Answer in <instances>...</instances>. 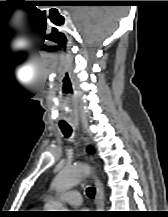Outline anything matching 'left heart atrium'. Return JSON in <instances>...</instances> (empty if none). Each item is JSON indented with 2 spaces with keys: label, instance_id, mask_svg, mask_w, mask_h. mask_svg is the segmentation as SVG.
<instances>
[{
  "label": "left heart atrium",
  "instance_id": "1",
  "mask_svg": "<svg viewBox=\"0 0 168 217\" xmlns=\"http://www.w3.org/2000/svg\"><path fill=\"white\" fill-rule=\"evenodd\" d=\"M76 215H77V217H83L84 215H86V213L85 212H78Z\"/></svg>",
  "mask_w": 168,
  "mask_h": 217
}]
</instances>
